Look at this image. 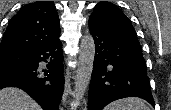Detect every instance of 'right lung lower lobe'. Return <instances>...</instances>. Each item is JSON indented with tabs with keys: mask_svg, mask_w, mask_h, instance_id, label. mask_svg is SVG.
Wrapping results in <instances>:
<instances>
[{
	"mask_svg": "<svg viewBox=\"0 0 171 110\" xmlns=\"http://www.w3.org/2000/svg\"><path fill=\"white\" fill-rule=\"evenodd\" d=\"M29 61L0 71V89L18 87L27 92L44 110H59L63 94V55L59 38L29 53ZM40 62L47 63L41 66Z\"/></svg>",
	"mask_w": 171,
	"mask_h": 110,
	"instance_id": "1",
	"label": "right lung lower lobe"
}]
</instances>
